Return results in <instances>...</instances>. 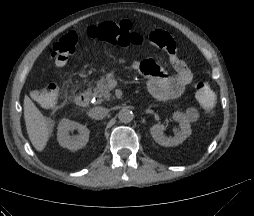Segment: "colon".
Returning <instances> with one entry per match:
<instances>
[{
	"label": "colon",
	"instance_id": "5ec220e1",
	"mask_svg": "<svg viewBox=\"0 0 254 216\" xmlns=\"http://www.w3.org/2000/svg\"><path fill=\"white\" fill-rule=\"evenodd\" d=\"M83 34L81 31H71L54 43L50 56L56 67H63L68 59L75 54ZM86 34L91 38L119 46L138 45L144 41V37L137 28L128 21L118 23L108 21L98 25H92L88 27ZM195 96L205 113L211 114L214 111L216 95L208 81L199 77L195 79ZM58 97V87L54 84H50L46 88L34 92V99L47 108L53 107Z\"/></svg>",
	"mask_w": 254,
	"mask_h": 216
}]
</instances>
